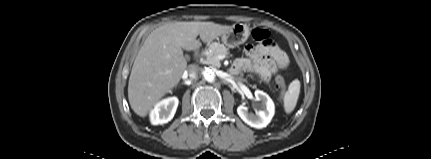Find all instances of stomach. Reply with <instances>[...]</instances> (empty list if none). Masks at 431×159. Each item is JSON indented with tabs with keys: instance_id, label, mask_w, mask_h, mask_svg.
Returning a JSON list of instances; mask_svg holds the SVG:
<instances>
[{
	"instance_id": "obj_1",
	"label": "stomach",
	"mask_w": 431,
	"mask_h": 159,
	"mask_svg": "<svg viewBox=\"0 0 431 159\" xmlns=\"http://www.w3.org/2000/svg\"><path fill=\"white\" fill-rule=\"evenodd\" d=\"M250 30L246 24L236 23L224 34L221 41L229 48L243 44L249 37Z\"/></svg>"
}]
</instances>
